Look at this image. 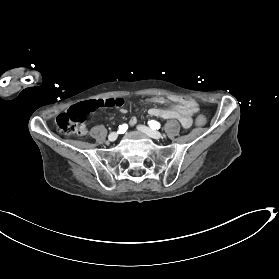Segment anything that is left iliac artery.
Listing matches in <instances>:
<instances>
[{"label":"left iliac artery","mask_w":279,"mask_h":279,"mask_svg":"<svg viewBox=\"0 0 279 279\" xmlns=\"http://www.w3.org/2000/svg\"><path fill=\"white\" fill-rule=\"evenodd\" d=\"M148 125L150 126V128H152L153 130L159 129L160 128V123L154 120H151L148 122Z\"/></svg>","instance_id":"1"}]
</instances>
